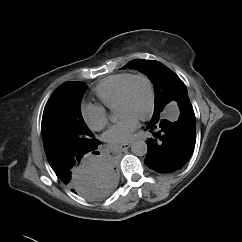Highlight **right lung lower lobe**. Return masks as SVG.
<instances>
[{"label":"right lung lower lobe","instance_id":"1","mask_svg":"<svg viewBox=\"0 0 242 242\" xmlns=\"http://www.w3.org/2000/svg\"><path fill=\"white\" fill-rule=\"evenodd\" d=\"M96 149L97 147L86 153L59 158L50 164L63 184L89 200H102L109 196L118 180L111 158H90V154L95 153Z\"/></svg>","mask_w":242,"mask_h":242}]
</instances>
